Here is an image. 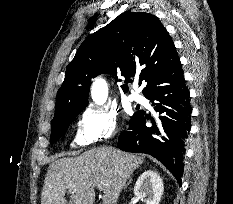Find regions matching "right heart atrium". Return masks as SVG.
I'll return each instance as SVG.
<instances>
[{
    "label": "right heart atrium",
    "mask_w": 233,
    "mask_h": 204,
    "mask_svg": "<svg viewBox=\"0 0 233 204\" xmlns=\"http://www.w3.org/2000/svg\"><path fill=\"white\" fill-rule=\"evenodd\" d=\"M118 127V115L107 106H88L80 116L75 142L89 146L112 138Z\"/></svg>",
    "instance_id": "right-heart-atrium-1"
}]
</instances>
